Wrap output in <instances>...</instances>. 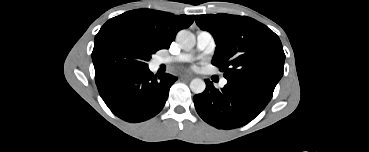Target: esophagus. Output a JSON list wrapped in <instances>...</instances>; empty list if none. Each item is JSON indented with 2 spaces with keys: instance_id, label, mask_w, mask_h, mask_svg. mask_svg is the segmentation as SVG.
<instances>
[{
  "instance_id": "1",
  "label": "esophagus",
  "mask_w": 369,
  "mask_h": 152,
  "mask_svg": "<svg viewBox=\"0 0 369 152\" xmlns=\"http://www.w3.org/2000/svg\"><path fill=\"white\" fill-rule=\"evenodd\" d=\"M180 79L181 80H191L192 79V76L191 75H181L180 76Z\"/></svg>"
}]
</instances>
